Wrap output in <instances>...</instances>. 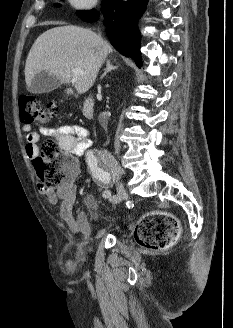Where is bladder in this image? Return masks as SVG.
Returning a JSON list of instances; mask_svg holds the SVG:
<instances>
[{
  "instance_id": "31cf9c89",
  "label": "bladder",
  "mask_w": 233,
  "mask_h": 328,
  "mask_svg": "<svg viewBox=\"0 0 233 328\" xmlns=\"http://www.w3.org/2000/svg\"><path fill=\"white\" fill-rule=\"evenodd\" d=\"M85 204H86L89 215L94 216V217H97L100 215L99 211H98L97 203L91 196H87L85 198Z\"/></svg>"
}]
</instances>
